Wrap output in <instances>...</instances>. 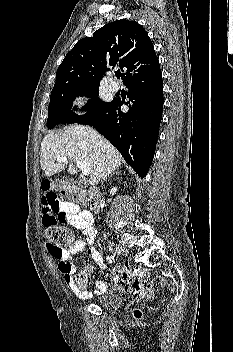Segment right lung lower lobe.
Here are the masks:
<instances>
[{
  "label": "right lung lower lobe",
  "mask_w": 233,
  "mask_h": 352,
  "mask_svg": "<svg viewBox=\"0 0 233 352\" xmlns=\"http://www.w3.org/2000/svg\"><path fill=\"white\" fill-rule=\"evenodd\" d=\"M125 86L129 89V101L125 103L129 107L128 112H121L124 101L114 98L105 107L77 123L97 128L143 178L152 164L162 119L161 70L130 81Z\"/></svg>",
  "instance_id": "obj_1"
}]
</instances>
